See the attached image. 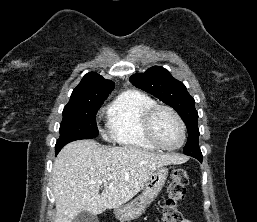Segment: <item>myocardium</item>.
<instances>
[{
	"label": "myocardium",
	"instance_id": "1",
	"mask_svg": "<svg viewBox=\"0 0 257 222\" xmlns=\"http://www.w3.org/2000/svg\"><path fill=\"white\" fill-rule=\"evenodd\" d=\"M160 111H167L169 112L178 122L180 130H181V141L178 145L174 147H168L163 145L156 137L154 128H153V122L156 117V115ZM143 131L146 136V138L149 140L151 144H153L156 148L165 150V151H176L183 147L186 141V126L182 119V117L178 114V112L173 109L170 106L167 105H160L156 104L153 107H151L144 115L143 118Z\"/></svg>",
	"mask_w": 257,
	"mask_h": 222
}]
</instances>
